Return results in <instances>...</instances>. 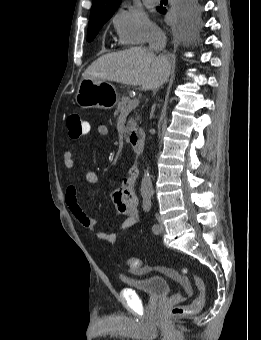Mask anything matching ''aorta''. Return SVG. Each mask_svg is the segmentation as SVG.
Segmentation results:
<instances>
[{"label":"aorta","mask_w":261,"mask_h":340,"mask_svg":"<svg viewBox=\"0 0 261 340\" xmlns=\"http://www.w3.org/2000/svg\"><path fill=\"white\" fill-rule=\"evenodd\" d=\"M141 194L142 195H152L153 193V186H152V180H151V174L149 170L144 171V175L141 181Z\"/></svg>","instance_id":"aorta-1"}]
</instances>
